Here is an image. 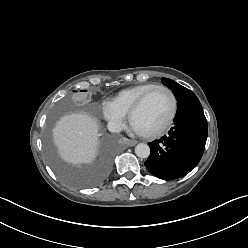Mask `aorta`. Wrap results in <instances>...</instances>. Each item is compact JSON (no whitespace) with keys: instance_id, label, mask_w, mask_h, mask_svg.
I'll return each mask as SVG.
<instances>
[{"instance_id":"1","label":"aorta","mask_w":248,"mask_h":248,"mask_svg":"<svg viewBox=\"0 0 248 248\" xmlns=\"http://www.w3.org/2000/svg\"><path fill=\"white\" fill-rule=\"evenodd\" d=\"M135 154L140 158H148L150 155V147L145 143H139L135 147Z\"/></svg>"}]
</instances>
